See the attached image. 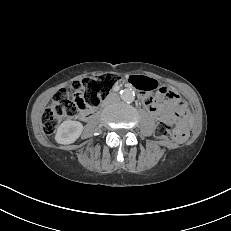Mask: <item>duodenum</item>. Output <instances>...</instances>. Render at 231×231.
I'll list each match as a JSON object with an SVG mask.
<instances>
[{
    "instance_id": "410a0bca",
    "label": "duodenum",
    "mask_w": 231,
    "mask_h": 231,
    "mask_svg": "<svg viewBox=\"0 0 231 231\" xmlns=\"http://www.w3.org/2000/svg\"><path fill=\"white\" fill-rule=\"evenodd\" d=\"M142 101H143V103L148 107L149 106V103H148V99L147 98H145L144 96H142ZM87 117H89V113L87 112Z\"/></svg>"
}]
</instances>
